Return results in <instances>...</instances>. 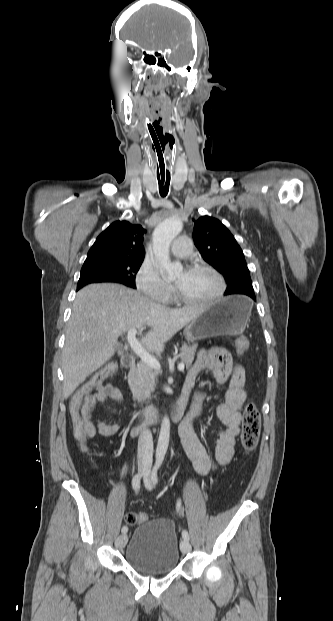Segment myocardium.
Wrapping results in <instances>:
<instances>
[{
  "mask_svg": "<svg viewBox=\"0 0 333 621\" xmlns=\"http://www.w3.org/2000/svg\"><path fill=\"white\" fill-rule=\"evenodd\" d=\"M201 270L208 271L216 277L219 283L218 291L210 298L203 299V300H197V299H191V298L184 296L177 289V287H174V297L177 301L183 304H187V305L200 306V305L212 304L223 297L226 291V282H225L223 275L215 267L207 263L195 262L188 267V271H201Z\"/></svg>",
  "mask_w": 333,
  "mask_h": 621,
  "instance_id": "1",
  "label": "myocardium"
}]
</instances>
